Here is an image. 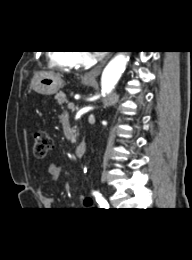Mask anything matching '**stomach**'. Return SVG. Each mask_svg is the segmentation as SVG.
Returning a JSON list of instances; mask_svg holds the SVG:
<instances>
[{
  "instance_id": "stomach-1",
  "label": "stomach",
  "mask_w": 192,
  "mask_h": 260,
  "mask_svg": "<svg viewBox=\"0 0 192 260\" xmlns=\"http://www.w3.org/2000/svg\"><path fill=\"white\" fill-rule=\"evenodd\" d=\"M83 83L85 85H91L92 81H83ZM62 86V78L55 73H37L31 82L33 90L41 95L56 94Z\"/></svg>"
}]
</instances>
